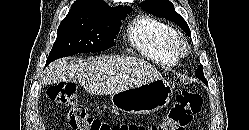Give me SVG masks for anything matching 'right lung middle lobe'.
I'll return each instance as SVG.
<instances>
[{
    "label": "right lung middle lobe",
    "mask_w": 249,
    "mask_h": 130,
    "mask_svg": "<svg viewBox=\"0 0 249 130\" xmlns=\"http://www.w3.org/2000/svg\"><path fill=\"white\" fill-rule=\"evenodd\" d=\"M131 10L127 6H103L92 12L69 11L58 27L47 65L76 53L100 52L111 48L121 20Z\"/></svg>",
    "instance_id": "dd1d6c3e"
}]
</instances>
